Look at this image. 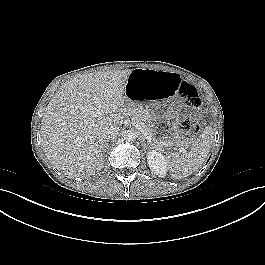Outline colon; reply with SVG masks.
<instances>
[{
	"instance_id": "obj_1",
	"label": "colon",
	"mask_w": 265,
	"mask_h": 265,
	"mask_svg": "<svg viewBox=\"0 0 265 265\" xmlns=\"http://www.w3.org/2000/svg\"><path fill=\"white\" fill-rule=\"evenodd\" d=\"M178 93L181 97V103L184 108L197 109L201 102L196 88L187 83L180 82ZM201 116L198 112H191L187 114L180 124V129L185 137H193L200 130Z\"/></svg>"
}]
</instances>
